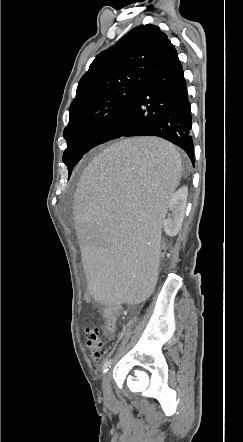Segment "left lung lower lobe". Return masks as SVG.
<instances>
[{
    "label": "left lung lower lobe",
    "instance_id": "1",
    "mask_svg": "<svg viewBox=\"0 0 243 442\" xmlns=\"http://www.w3.org/2000/svg\"><path fill=\"white\" fill-rule=\"evenodd\" d=\"M191 128L184 72L168 41L130 107L101 144L121 137L157 136L182 148L194 164Z\"/></svg>",
    "mask_w": 243,
    "mask_h": 442
}]
</instances>
